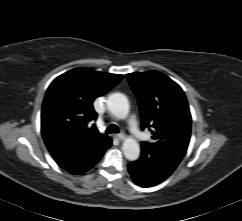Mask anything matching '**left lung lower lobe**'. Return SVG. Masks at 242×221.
Segmentation results:
<instances>
[{"label": "left lung lower lobe", "instance_id": "left-lung-lower-lobe-1", "mask_svg": "<svg viewBox=\"0 0 242 221\" xmlns=\"http://www.w3.org/2000/svg\"><path fill=\"white\" fill-rule=\"evenodd\" d=\"M141 157L128 164L133 181L141 187H152L168 178L179 162L168 155L141 147Z\"/></svg>", "mask_w": 242, "mask_h": 221}]
</instances>
